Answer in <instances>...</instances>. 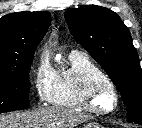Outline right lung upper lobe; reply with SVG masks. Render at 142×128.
Returning a JSON list of instances; mask_svg holds the SVG:
<instances>
[{
    "label": "right lung upper lobe",
    "instance_id": "cb5924a9",
    "mask_svg": "<svg viewBox=\"0 0 142 128\" xmlns=\"http://www.w3.org/2000/svg\"><path fill=\"white\" fill-rule=\"evenodd\" d=\"M50 22L48 12L23 11L0 18V73L17 69L33 59Z\"/></svg>",
    "mask_w": 142,
    "mask_h": 128
}]
</instances>
